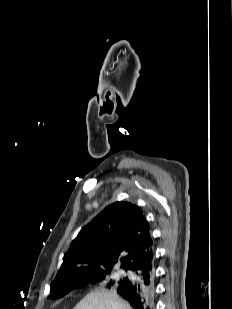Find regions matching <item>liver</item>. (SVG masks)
I'll use <instances>...</instances> for the list:
<instances>
[{"label": "liver", "mask_w": 232, "mask_h": 309, "mask_svg": "<svg viewBox=\"0 0 232 309\" xmlns=\"http://www.w3.org/2000/svg\"><path fill=\"white\" fill-rule=\"evenodd\" d=\"M74 309H132L115 291L104 288L88 293Z\"/></svg>", "instance_id": "1"}]
</instances>
